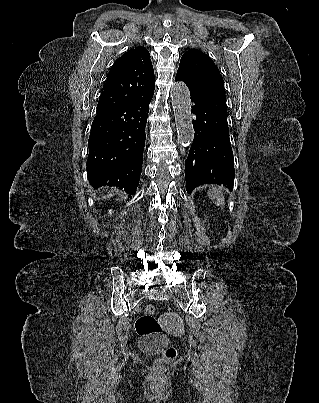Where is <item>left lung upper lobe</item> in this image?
Returning a JSON list of instances; mask_svg holds the SVG:
<instances>
[{
  "mask_svg": "<svg viewBox=\"0 0 319 403\" xmlns=\"http://www.w3.org/2000/svg\"><path fill=\"white\" fill-rule=\"evenodd\" d=\"M177 73L192 85L225 93L224 81L217 66L202 51L190 49L185 52Z\"/></svg>",
  "mask_w": 319,
  "mask_h": 403,
  "instance_id": "obj_1",
  "label": "left lung upper lobe"
}]
</instances>
